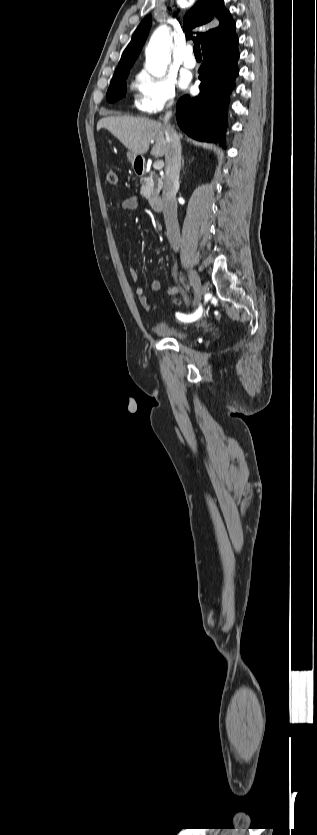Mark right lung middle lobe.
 <instances>
[{
    "instance_id": "dd1d6c3e",
    "label": "right lung middle lobe",
    "mask_w": 317,
    "mask_h": 835,
    "mask_svg": "<svg viewBox=\"0 0 317 835\" xmlns=\"http://www.w3.org/2000/svg\"><path fill=\"white\" fill-rule=\"evenodd\" d=\"M130 69H124L115 71L114 76L111 80L109 89L107 91L106 99L108 102L113 103L119 99H121L126 93V81L125 79L129 75Z\"/></svg>"
}]
</instances>
